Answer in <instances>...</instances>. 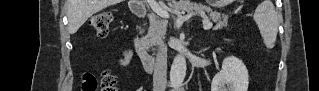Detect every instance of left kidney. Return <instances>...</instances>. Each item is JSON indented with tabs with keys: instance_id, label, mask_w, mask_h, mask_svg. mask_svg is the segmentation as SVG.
<instances>
[{
	"instance_id": "obj_1",
	"label": "left kidney",
	"mask_w": 319,
	"mask_h": 91,
	"mask_svg": "<svg viewBox=\"0 0 319 91\" xmlns=\"http://www.w3.org/2000/svg\"><path fill=\"white\" fill-rule=\"evenodd\" d=\"M248 85L246 66L240 59L230 56L224 59L222 70L214 76L211 91H248Z\"/></svg>"
}]
</instances>
